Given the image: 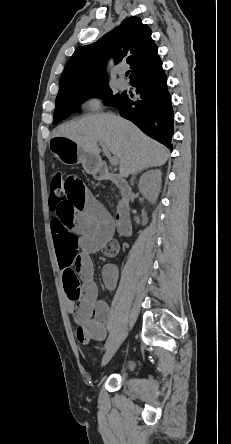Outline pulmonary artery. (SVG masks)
Here are the masks:
<instances>
[{
    "mask_svg": "<svg viewBox=\"0 0 231 444\" xmlns=\"http://www.w3.org/2000/svg\"><path fill=\"white\" fill-rule=\"evenodd\" d=\"M122 71V70H121ZM120 71V72H121ZM117 85H118V87L119 88H121V89H126V88H128V82H127V80H125V79H123V78H119L118 80H117Z\"/></svg>",
    "mask_w": 231,
    "mask_h": 444,
    "instance_id": "obj_1",
    "label": "pulmonary artery"
}]
</instances>
